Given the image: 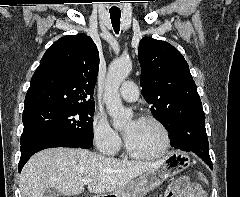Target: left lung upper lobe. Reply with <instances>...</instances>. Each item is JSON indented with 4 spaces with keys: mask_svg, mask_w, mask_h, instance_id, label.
Masks as SVG:
<instances>
[{
    "mask_svg": "<svg viewBox=\"0 0 240 197\" xmlns=\"http://www.w3.org/2000/svg\"><path fill=\"white\" fill-rule=\"evenodd\" d=\"M138 54L142 94L170 134L181 114L202 108L189 66L174 46L150 37L141 39Z\"/></svg>",
    "mask_w": 240,
    "mask_h": 197,
    "instance_id": "left-lung-upper-lobe-1",
    "label": "left lung upper lobe"
}]
</instances>
